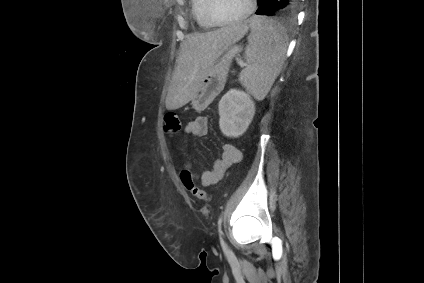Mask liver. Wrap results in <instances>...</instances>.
<instances>
[{
	"instance_id": "liver-1",
	"label": "liver",
	"mask_w": 424,
	"mask_h": 283,
	"mask_svg": "<svg viewBox=\"0 0 424 283\" xmlns=\"http://www.w3.org/2000/svg\"><path fill=\"white\" fill-rule=\"evenodd\" d=\"M247 22L232 23L206 33L188 35L180 54L166 97L168 110L178 109L197 93L205 75L229 45L248 32Z\"/></svg>"
}]
</instances>
